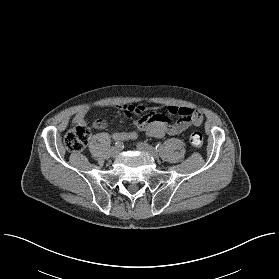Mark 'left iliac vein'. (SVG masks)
Returning <instances> with one entry per match:
<instances>
[{"label":"left iliac vein","instance_id":"left-iliac-vein-1","mask_svg":"<svg viewBox=\"0 0 279 279\" xmlns=\"http://www.w3.org/2000/svg\"><path fill=\"white\" fill-rule=\"evenodd\" d=\"M137 149L149 154L152 158L157 159L159 157L158 152L150 145L139 142L137 144Z\"/></svg>","mask_w":279,"mask_h":279}]
</instances>
